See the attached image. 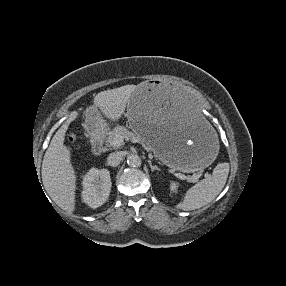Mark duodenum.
<instances>
[{
    "label": "duodenum",
    "mask_w": 286,
    "mask_h": 286,
    "mask_svg": "<svg viewBox=\"0 0 286 286\" xmlns=\"http://www.w3.org/2000/svg\"><path fill=\"white\" fill-rule=\"evenodd\" d=\"M91 151L94 156L100 155L103 151V138L99 132L92 135Z\"/></svg>",
    "instance_id": "obj_1"
}]
</instances>
